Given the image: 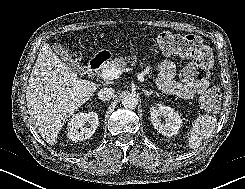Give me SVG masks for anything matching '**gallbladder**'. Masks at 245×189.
<instances>
[{
	"mask_svg": "<svg viewBox=\"0 0 245 189\" xmlns=\"http://www.w3.org/2000/svg\"><path fill=\"white\" fill-rule=\"evenodd\" d=\"M53 50L56 54H58L63 62L73 71L79 73V74H85L86 72V66L83 64H80L77 60L73 59L69 54L67 48H65L60 43H54L53 44Z\"/></svg>",
	"mask_w": 245,
	"mask_h": 189,
	"instance_id": "1",
	"label": "gallbladder"
}]
</instances>
